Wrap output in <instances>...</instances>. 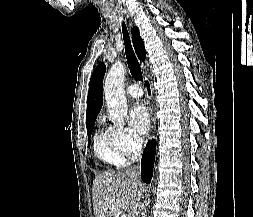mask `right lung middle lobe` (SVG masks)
Returning a JSON list of instances; mask_svg holds the SVG:
<instances>
[{"label": "right lung middle lobe", "mask_w": 253, "mask_h": 217, "mask_svg": "<svg viewBox=\"0 0 253 217\" xmlns=\"http://www.w3.org/2000/svg\"><path fill=\"white\" fill-rule=\"evenodd\" d=\"M94 123H95V120L87 122V134H88V137L91 136L92 130L94 128ZM88 145L90 146V141L88 142Z\"/></svg>", "instance_id": "1"}]
</instances>
